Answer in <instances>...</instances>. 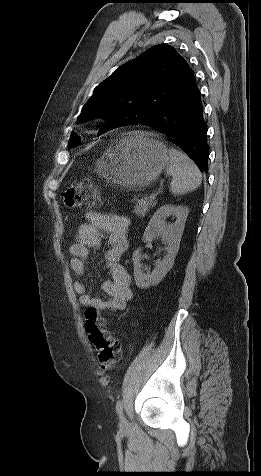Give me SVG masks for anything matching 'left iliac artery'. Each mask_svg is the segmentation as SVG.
Masks as SVG:
<instances>
[{
	"label": "left iliac artery",
	"mask_w": 261,
	"mask_h": 476,
	"mask_svg": "<svg viewBox=\"0 0 261 476\" xmlns=\"http://www.w3.org/2000/svg\"><path fill=\"white\" fill-rule=\"evenodd\" d=\"M123 410V401L119 399L116 403V411L118 414H121Z\"/></svg>",
	"instance_id": "44dca946"
}]
</instances>
